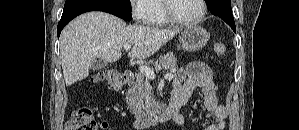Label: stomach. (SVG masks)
I'll list each match as a JSON object with an SVG mask.
<instances>
[{"mask_svg": "<svg viewBox=\"0 0 299 130\" xmlns=\"http://www.w3.org/2000/svg\"><path fill=\"white\" fill-rule=\"evenodd\" d=\"M210 34L197 25L188 26L180 35L182 49L188 52L201 50L208 42Z\"/></svg>", "mask_w": 299, "mask_h": 130, "instance_id": "1", "label": "stomach"}]
</instances>
